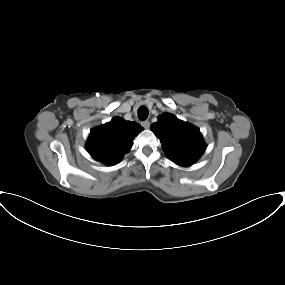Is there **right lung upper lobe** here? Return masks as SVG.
<instances>
[{
	"label": "right lung upper lobe",
	"mask_w": 285,
	"mask_h": 285,
	"mask_svg": "<svg viewBox=\"0 0 285 285\" xmlns=\"http://www.w3.org/2000/svg\"><path fill=\"white\" fill-rule=\"evenodd\" d=\"M142 130L136 122L114 118L91 130L86 145L87 151L94 159L114 165L131 149L134 137Z\"/></svg>",
	"instance_id": "right-lung-upper-lobe-1"
}]
</instances>
